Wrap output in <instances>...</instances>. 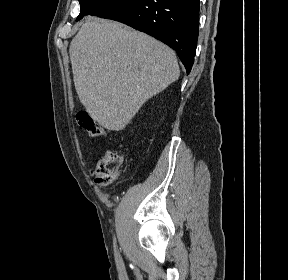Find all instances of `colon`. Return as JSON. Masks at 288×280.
<instances>
[{"label":"colon","instance_id":"obj_1","mask_svg":"<svg viewBox=\"0 0 288 280\" xmlns=\"http://www.w3.org/2000/svg\"><path fill=\"white\" fill-rule=\"evenodd\" d=\"M80 126L92 137L104 135V128L99 121L88 111L81 110L77 114ZM125 157L116 151H108L97 163L95 168L96 182L100 185H109L117 177L123 166Z\"/></svg>","mask_w":288,"mask_h":280}]
</instances>
